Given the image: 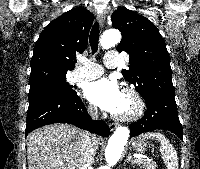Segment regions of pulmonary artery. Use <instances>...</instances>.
I'll return each instance as SVG.
<instances>
[{"instance_id": "1", "label": "pulmonary artery", "mask_w": 200, "mask_h": 169, "mask_svg": "<svg viewBox=\"0 0 200 169\" xmlns=\"http://www.w3.org/2000/svg\"><path fill=\"white\" fill-rule=\"evenodd\" d=\"M119 63V57L115 52H109L105 59L104 64L107 68H113ZM104 69L101 65L93 62H85L84 66L78 68L72 76L73 82L90 81L101 76Z\"/></svg>"}]
</instances>
